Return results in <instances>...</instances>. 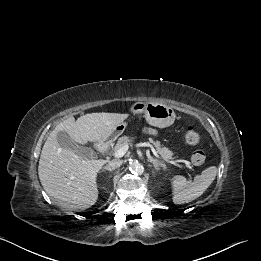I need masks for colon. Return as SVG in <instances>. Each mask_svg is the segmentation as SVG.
<instances>
[{
    "instance_id": "1",
    "label": "colon",
    "mask_w": 261,
    "mask_h": 261,
    "mask_svg": "<svg viewBox=\"0 0 261 261\" xmlns=\"http://www.w3.org/2000/svg\"><path fill=\"white\" fill-rule=\"evenodd\" d=\"M184 139L188 145L196 146L201 142V135L195 127L188 126L185 130ZM191 160L194 165H202L206 160V154L204 151L197 150L192 154Z\"/></svg>"
}]
</instances>
